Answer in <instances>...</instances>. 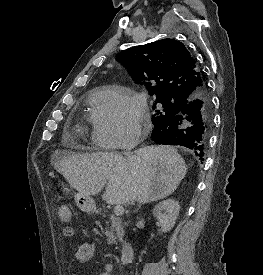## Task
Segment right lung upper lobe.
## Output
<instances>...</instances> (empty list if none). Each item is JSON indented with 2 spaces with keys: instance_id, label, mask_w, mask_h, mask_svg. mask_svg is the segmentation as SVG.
<instances>
[{
  "instance_id": "cb5924a9",
  "label": "right lung upper lobe",
  "mask_w": 263,
  "mask_h": 275,
  "mask_svg": "<svg viewBox=\"0 0 263 275\" xmlns=\"http://www.w3.org/2000/svg\"><path fill=\"white\" fill-rule=\"evenodd\" d=\"M133 80L146 84L156 98L183 100L206 87L195 59L182 42L163 39L135 46L117 55Z\"/></svg>"
}]
</instances>
